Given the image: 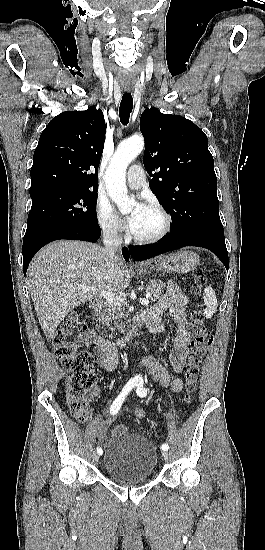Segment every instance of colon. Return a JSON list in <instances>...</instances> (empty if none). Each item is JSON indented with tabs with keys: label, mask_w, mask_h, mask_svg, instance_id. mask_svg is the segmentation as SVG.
I'll return each instance as SVG.
<instances>
[{
	"label": "colon",
	"mask_w": 265,
	"mask_h": 550,
	"mask_svg": "<svg viewBox=\"0 0 265 550\" xmlns=\"http://www.w3.org/2000/svg\"><path fill=\"white\" fill-rule=\"evenodd\" d=\"M205 282V274H197L193 279V292L198 293ZM85 330L86 324L81 319L79 312L72 311L58 327L53 337L54 353L67 372V406L72 416L79 422H85L88 419V401L96 383V375L91 353L80 350L76 344L69 340V337ZM190 332L193 340L185 371L183 396L185 402L190 401L191 394L196 389V380L201 365L213 342L212 333L204 322L203 313L197 308L193 309L190 314ZM127 433V427L121 424L114 425L111 429L112 437L124 436Z\"/></svg>",
	"instance_id": "obj_1"
}]
</instances>
